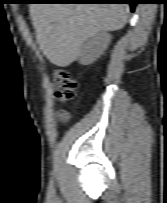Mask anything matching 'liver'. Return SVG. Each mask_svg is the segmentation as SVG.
<instances>
[{"label":"liver","instance_id":"1","mask_svg":"<svg viewBox=\"0 0 167 203\" xmlns=\"http://www.w3.org/2000/svg\"><path fill=\"white\" fill-rule=\"evenodd\" d=\"M40 49L47 59L66 67L80 55L83 43L102 31L123 28L129 7L123 4L36 3L30 6Z\"/></svg>","mask_w":167,"mask_h":203}]
</instances>
